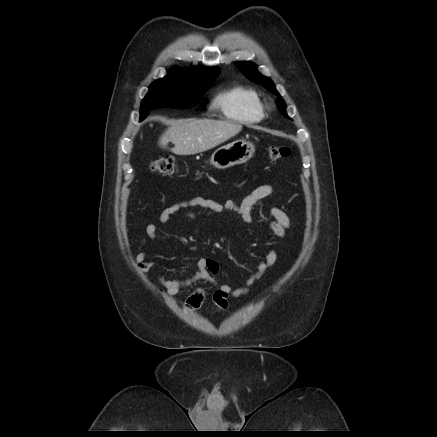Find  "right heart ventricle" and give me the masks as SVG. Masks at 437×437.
Returning <instances> with one entry per match:
<instances>
[{
    "instance_id": "obj_1",
    "label": "right heart ventricle",
    "mask_w": 437,
    "mask_h": 437,
    "mask_svg": "<svg viewBox=\"0 0 437 437\" xmlns=\"http://www.w3.org/2000/svg\"><path fill=\"white\" fill-rule=\"evenodd\" d=\"M213 106L220 109L226 118L242 124L257 123L264 117L259 94L240 85L218 93L213 99Z\"/></svg>"
}]
</instances>
